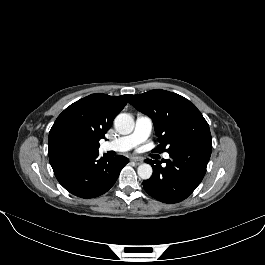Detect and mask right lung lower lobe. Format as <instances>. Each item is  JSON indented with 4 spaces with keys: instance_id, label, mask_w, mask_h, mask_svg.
Masks as SVG:
<instances>
[{
    "instance_id": "98d812e1",
    "label": "right lung lower lobe",
    "mask_w": 265,
    "mask_h": 265,
    "mask_svg": "<svg viewBox=\"0 0 265 265\" xmlns=\"http://www.w3.org/2000/svg\"><path fill=\"white\" fill-rule=\"evenodd\" d=\"M59 183L71 194L94 198L107 192L116 182L128 158L99 157V151H72L49 157Z\"/></svg>"
}]
</instances>
